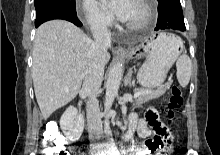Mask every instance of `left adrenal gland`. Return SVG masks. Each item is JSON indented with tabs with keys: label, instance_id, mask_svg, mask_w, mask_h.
Masks as SVG:
<instances>
[{
	"label": "left adrenal gland",
	"instance_id": "a2214340",
	"mask_svg": "<svg viewBox=\"0 0 220 155\" xmlns=\"http://www.w3.org/2000/svg\"><path fill=\"white\" fill-rule=\"evenodd\" d=\"M132 77V69H130L127 73V75L125 76L124 79V86H128V87H132L134 85V81H132L131 79Z\"/></svg>",
	"mask_w": 220,
	"mask_h": 155
}]
</instances>
